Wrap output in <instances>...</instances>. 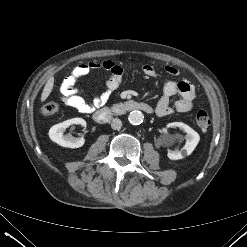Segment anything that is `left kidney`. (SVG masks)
<instances>
[{
	"label": "left kidney",
	"instance_id": "obj_1",
	"mask_svg": "<svg viewBox=\"0 0 247 247\" xmlns=\"http://www.w3.org/2000/svg\"><path fill=\"white\" fill-rule=\"evenodd\" d=\"M169 127H179L180 129L185 131L186 143L184 147L181 149V151L168 150V158L171 160H180L183 159L185 156L190 155L194 151L200 140L199 134L196 131H194L191 127H189L188 125L182 122H173L169 124Z\"/></svg>",
	"mask_w": 247,
	"mask_h": 247
}]
</instances>
